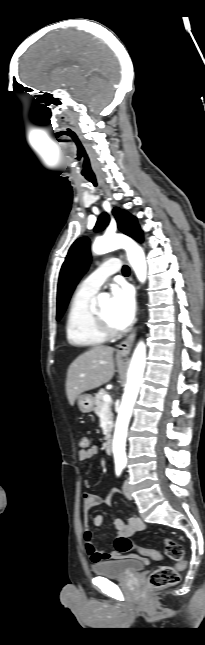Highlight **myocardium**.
Wrapping results in <instances>:
<instances>
[{"label":"myocardium","instance_id":"obj_1","mask_svg":"<svg viewBox=\"0 0 205 645\" xmlns=\"http://www.w3.org/2000/svg\"><path fill=\"white\" fill-rule=\"evenodd\" d=\"M92 315L96 327L105 337H116L121 333L119 328H115L107 322L99 312L98 307H93Z\"/></svg>","mask_w":205,"mask_h":645}]
</instances>
